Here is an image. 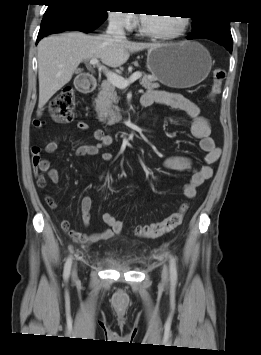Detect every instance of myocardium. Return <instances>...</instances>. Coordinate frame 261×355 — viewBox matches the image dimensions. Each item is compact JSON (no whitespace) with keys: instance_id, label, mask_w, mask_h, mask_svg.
<instances>
[{"instance_id":"f54148a6","label":"myocardium","mask_w":261,"mask_h":355,"mask_svg":"<svg viewBox=\"0 0 261 355\" xmlns=\"http://www.w3.org/2000/svg\"><path fill=\"white\" fill-rule=\"evenodd\" d=\"M179 17L181 20V25H180V28L174 33L161 34V33H155V32L149 31L144 27L143 19L140 20L139 32L143 36H146L148 38L155 39V40L167 41V40L177 39V38L181 37L186 32L188 25H189V19L187 16H179Z\"/></svg>"}]
</instances>
